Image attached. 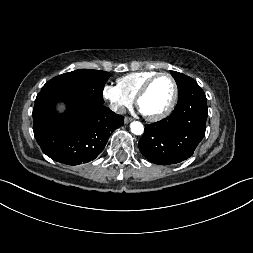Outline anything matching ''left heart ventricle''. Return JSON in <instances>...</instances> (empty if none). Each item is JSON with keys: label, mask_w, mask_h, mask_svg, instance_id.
<instances>
[{"label": "left heart ventricle", "mask_w": 253, "mask_h": 253, "mask_svg": "<svg viewBox=\"0 0 253 253\" xmlns=\"http://www.w3.org/2000/svg\"><path fill=\"white\" fill-rule=\"evenodd\" d=\"M173 95V85L166 77L158 78L139 102V110L146 115H156L165 110Z\"/></svg>", "instance_id": "1"}]
</instances>
